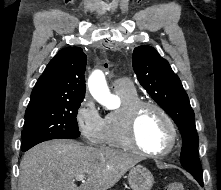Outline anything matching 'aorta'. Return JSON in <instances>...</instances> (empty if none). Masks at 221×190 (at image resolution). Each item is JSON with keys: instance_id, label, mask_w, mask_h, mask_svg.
<instances>
[{"instance_id": "obj_1", "label": "aorta", "mask_w": 221, "mask_h": 190, "mask_svg": "<svg viewBox=\"0 0 221 190\" xmlns=\"http://www.w3.org/2000/svg\"><path fill=\"white\" fill-rule=\"evenodd\" d=\"M88 87L91 95L96 101L109 108L113 96L107 86L103 73L99 70L92 73L88 80Z\"/></svg>"}]
</instances>
